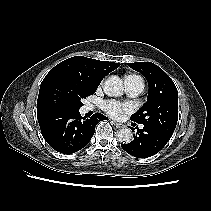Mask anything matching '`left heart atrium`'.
Here are the masks:
<instances>
[{"label":"left heart atrium","instance_id":"obj_1","mask_svg":"<svg viewBox=\"0 0 211 211\" xmlns=\"http://www.w3.org/2000/svg\"><path fill=\"white\" fill-rule=\"evenodd\" d=\"M103 109L105 112L114 117L118 118L125 112H130L132 106L129 103H121L115 100H108L103 103Z\"/></svg>","mask_w":211,"mask_h":211}]
</instances>
